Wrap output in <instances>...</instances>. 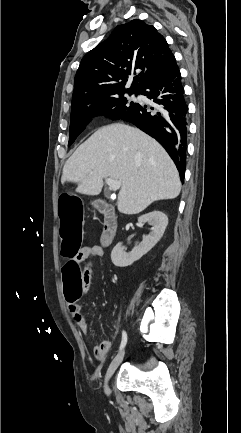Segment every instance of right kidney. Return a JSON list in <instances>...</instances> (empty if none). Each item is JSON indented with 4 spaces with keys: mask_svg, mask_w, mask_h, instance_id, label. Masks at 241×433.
Masks as SVG:
<instances>
[{
    "mask_svg": "<svg viewBox=\"0 0 241 433\" xmlns=\"http://www.w3.org/2000/svg\"><path fill=\"white\" fill-rule=\"evenodd\" d=\"M138 222L141 226L145 223L151 225V232L149 235L143 237L142 242L129 253L125 251L126 249L121 243H118L113 248L111 260L117 267H127L149 252L162 238L168 225V217L163 212L155 210L140 216Z\"/></svg>",
    "mask_w": 241,
    "mask_h": 433,
    "instance_id": "right-kidney-1",
    "label": "right kidney"
}]
</instances>
